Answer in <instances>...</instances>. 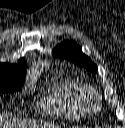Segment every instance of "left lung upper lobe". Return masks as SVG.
I'll return each instance as SVG.
<instances>
[{"instance_id":"5c2ea615","label":"left lung upper lobe","mask_w":125,"mask_h":128,"mask_svg":"<svg viewBox=\"0 0 125 128\" xmlns=\"http://www.w3.org/2000/svg\"><path fill=\"white\" fill-rule=\"evenodd\" d=\"M53 55L62 57L78 66L86 68L88 71L96 73L97 66L88 56L82 53L81 47L73 41H63L53 50Z\"/></svg>"}]
</instances>
